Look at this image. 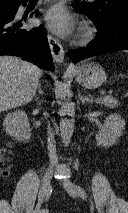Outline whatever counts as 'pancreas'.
<instances>
[{"mask_svg":"<svg viewBox=\"0 0 128 213\" xmlns=\"http://www.w3.org/2000/svg\"><path fill=\"white\" fill-rule=\"evenodd\" d=\"M97 102L107 108H117L120 105L119 100L109 96L100 98Z\"/></svg>","mask_w":128,"mask_h":213,"instance_id":"1","label":"pancreas"}]
</instances>
